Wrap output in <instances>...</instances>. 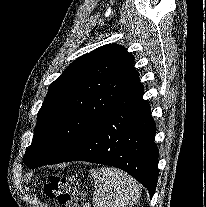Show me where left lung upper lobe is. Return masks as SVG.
<instances>
[{
  "instance_id": "obj_1",
  "label": "left lung upper lobe",
  "mask_w": 206,
  "mask_h": 207,
  "mask_svg": "<svg viewBox=\"0 0 206 207\" xmlns=\"http://www.w3.org/2000/svg\"><path fill=\"white\" fill-rule=\"evenodd\" d=\"M134 57L108 44L77 58L51 83L24 163L53 164L73 154L104 112L139 78Z\"/></svg>"
}]
</instances>
